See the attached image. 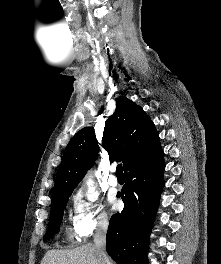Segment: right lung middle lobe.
Returning <instances> with one entry per match:
<instances>
[{"mask_svg": "<svg viewBox=\"0 0 221 264\" xmlns=\"http://www.w3.org/2000/svg\"><path fill=\"white\" fill-rule=\"evenodd\" d=\"M70 195L71 193L61 195L54 198L51 201L50 220H49L48 231L44 236L45 240L52 238V236H54L59 231L60 223L63 217V212Z\"/></svg>", "mask_w": 221, "mask_h": 264, "instance_id": "1", "label": "right lung middle lobe"}]
</instances>
